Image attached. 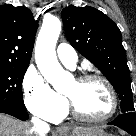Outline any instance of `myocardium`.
Listing matches in <instances>:
<instances>
[{
	"mask_svg": "<svg viewBox=\"0 0 136 136\" xmlns=\"http://www.w3.org/2000/svg\"><path fill=\"white\" fill-rule=\"evenodd\" d=\"M76 81L78 83H85L89 81H99L103 83L108 89L110 97H111V108L108 111V113H106L105 115L101 117H88V116L83 115L77 109L74 102L68 96H66L69 111L73 115L74 118L82 122H87V123H102V122L109 120L116 113L117 108H118L117 93H116L114 86L111 84V82L107 78L101 75H98V74H85V75H81L77 77Z\"/></svg>",
	"mask_w": 136,
	"mask_h": 136,
	"instance_id": "1",
	"label": "myocardium"
}]
</instances>
